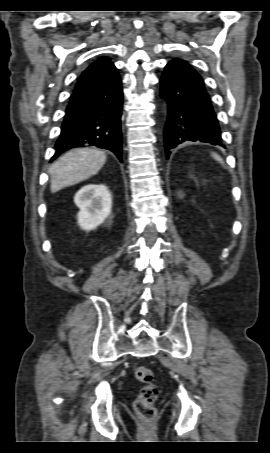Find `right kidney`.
Wrapping results in <instances>:
<instances>
[{"label":"right kidney","instance_id":"obj_1","mask_svg":"<svg viewBox=\"0 0 270 453\" xmlns=\"http://www.w3.org/2000/svg\"><path fill=\"white\" fill-rule=\"evenodd\" d=\"M74 202L80 209L78 224L83 230H94L110 215L112 198L105 185L88 184L75 195Z\"/></svg>","mask_w":270,"mask_h":453}]
</instances>
